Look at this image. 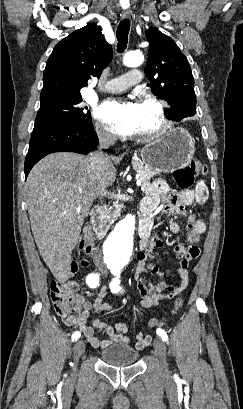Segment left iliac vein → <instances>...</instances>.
I'll return each mask as SVG.
<instances>
[{
	"label": "left iliac vein",
	"mask_w": 243,
	"mask_h": 409,
	"mask_svg": "<svg viewBox=\"0 0 243 409\" xmlns=\"http://www.w3.org/2000/svg\"><path fill=\"white\" fill-rule=\"evenodd\" d=\"M154 348H155V351H156L157 355L159 356L162 371H163L164 374H167L168 373V364H167V361H166V346H165V343L163 342L162 339L156 338L154 340Z\"/></svg>",
	"instance_id": "4c4485c4"
}]
</instances>
